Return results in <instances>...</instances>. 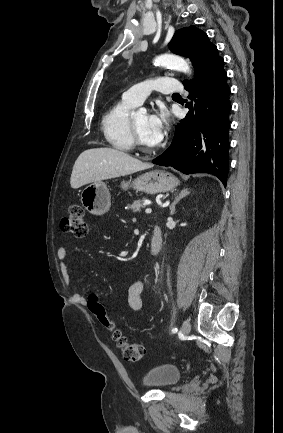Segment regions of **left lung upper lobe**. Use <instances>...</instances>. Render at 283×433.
Instances as JSON below:
<instances>
[{"instance_id": "5c2ea615", "label": "left lung upper lobe", "mask_w": 283, "mask_h": 433, "mask_svg": "<svg viewBox=\"0 0 283 433\" xmlns=\"http://www.w3.org/2000/svg\"><path fill=\"white\" fill-rule=\"evenodd\" d=\"M212 45L204 32L191 26L176 31L168 47L173 53L190 58L194 66L196 60Z\"/></svg>"}]
</instances>
